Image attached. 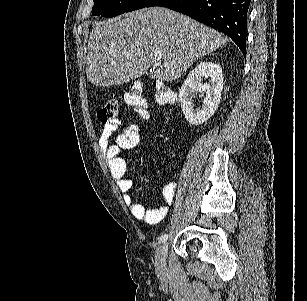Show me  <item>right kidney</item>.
<instances>
[{"instance_id": "obj_1", "label": "right kidney", "mask_w": 307, "mask_h": 301, "mask_svg": "<svg viewBox=\"0 0 307 301\" xmlns=\"http://www.w3.org/2000/svg\"><path fill=\"white\" fill-rule=\"evenodd\" d=\"M202 78H209L210 82H202ZM223 82L222 68L217 62L203 60L192 68L179 90L181 108L190 124H195V126L203 124L213 116L219 106ZM203 90L206 92L203 106L195 110L192 102L194 92H203Z\"/></svg>"}]
</instances>
